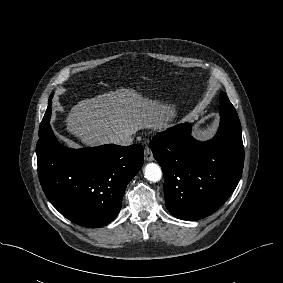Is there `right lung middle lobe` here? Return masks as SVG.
Masks as SVG:
<instances>
[{"label": "right lung middle lobe", "instance_id": "dd1d6c3e", "mask_svg": "<svg viewBox=\"0 0 283 283\" xmlns=\"http://www.w3.org/2000/svg\"><path fill=\"white\" fill-rule=\"evenodd\" d=\"M53 94H51L50 96V100L48 101V108L45 112V115L43 117V120L41 122L40 125V129H39V135L43 134V131L45 129V125L48 124L50 122V114H51V99H52Z\"/></svg>", "mask_w": 283, "mask_h": 283}]
</instances>
